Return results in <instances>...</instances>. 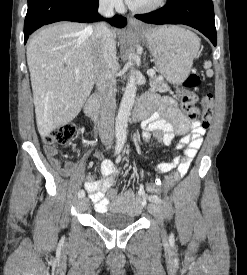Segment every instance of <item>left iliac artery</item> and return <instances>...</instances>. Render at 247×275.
<instances>
[{
	"mask_svg": "<svg viewBox=\"0 0 247 275\" xmlns=\"http://www.w3.org/2000/svg\"><path fill=\"white\" fill-rule=\"evenodd\" d=\"M149 201H151V202H157V203H161L162 202L161 198L159 196H157V195H151V196H149Z\"/></svg>",
	"mask_w": 247,
	"mask_h": 275,
	"instance_id": "44dca946",
	"label": "left iliac artery"
}]
</instances>
